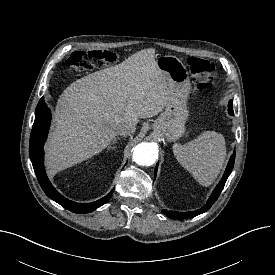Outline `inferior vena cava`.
Segmentation results:
<instances>
[{
  "label": "inferior vena cava",
  "mask_w": 275,
  "mask_h": 275,
  "mask_svg": "<svg viewBox=\"0 0 275 275\" xmlns=\"http://www.w3.org/2000/svg\"><path fill=\"white\" fill-rule=\"evenodd\" d=\"M135 130V125L129 122H122L116 126V133L120 136H130L134 134Z\"/></svg>",
  "instance_id": "1"
}]
</instances>
